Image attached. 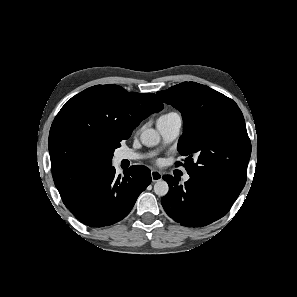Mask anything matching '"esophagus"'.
Here are the masks:
<instances>
[{
	"label": "esophagus",
	"instance_id": "34e87169",
	"mask_svg": "<svg viewBox=\"0 0 297 297\" xmlns=\"http://www.w3.org/2000/svg\"><path fill=\"white\" fill-rule=\"evenodd\" d=\"M151 178H152L153 182L160 181V180H162V174L157 170H152L151 171Z\"/></svg>",
	"mask_w": 297,
	"mask_h": 297
}]
</instances>
